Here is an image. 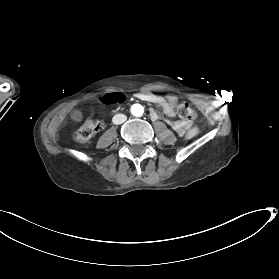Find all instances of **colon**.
I'll list each match as a JSON object with an SVG mask.
<instances>
[{"label": "colon", "mask_w": 279, "mask_h": 279, "mask_svg": "<svg viewBox=\"0 0 279 279\" xmlns=\"http://www.w3.org/2000/svg\"><path fill=\"white\" fill-rule=\"evenodd\" d=\"M126 97L122 93H109L106 94L102 102L106 105H115L125 102ZM177 113L180 118L187 121H194L196 119L195 111L187 104L180 103L177 106ZM103 124L100 120H88L81 124L74 132V139L77 142H85L91 139L96 133H98ZM199 134V129L194 127L190 129L186 135L187 139H193Z\"/></svg>", "instance_id": "5ec220e1"}]
</instances>
